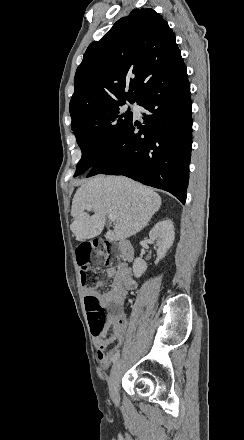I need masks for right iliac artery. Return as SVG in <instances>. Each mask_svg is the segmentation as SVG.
Listing matches in <instances>:
<instances>
[{
	"instance_id": "obj_1",
	"label": "right iliac artery",
	"mask_w": 244,
	"mask_h": 440,
	"mask_svg": "<svg viewBox=\"0 0 244 440\" xmlns=\"http://www.w3.org/2000/svg\"><path fill=\"white\" fill-rule=\"evenodd\" d=\"M119 357H120V353L116 352L115 355L113 356V359H112L113 362L117 361Z\"/></svg>"
}]
</instances>
